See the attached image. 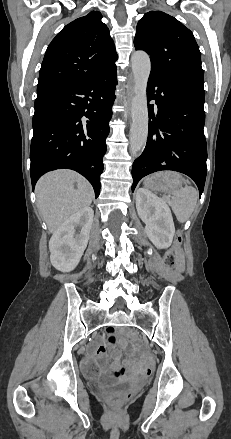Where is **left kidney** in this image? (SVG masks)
Instances as JSON below:
<instances>
[{
    "label": "left kidney",
    "instance_id": "left-kidney-1",
    "mask_svg": "<svg viewBox=\"0 0 231 439\" xmlns=\"http://www.w3.org/2000/svg\"><path fill=\"white\" fill-rule=\"evenodd\" d=\"M136 209L145 223V232L158 249L171 246L175 227L171 211L167 204L145 188L136 192Z\"/></svg>",
    "mask_w": 231,
    "mask_h": 439
}]
</instances>
